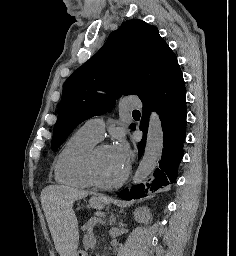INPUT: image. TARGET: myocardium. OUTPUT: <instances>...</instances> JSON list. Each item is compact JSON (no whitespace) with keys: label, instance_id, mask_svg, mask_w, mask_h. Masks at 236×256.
<instances>
[{"label":"myocardium","instance_id":"myocardium-1","mask_svg":"<svg viewBox=\"0 0 236 256\" xmlns=\"http://www.w3.org/2000/svg\"><path fill=\"white\" fill-rule=\"evenodd\" d=\"M106 145H99L92 149L89 155V175L93 186L103 189V190H111L118 187H121L126 180L128 179L130 168L128 165L125 166L123 173L113 181H104L98 172L97 164H96V155L99 150L106 148Z\"/></svg>","mask_w":236,"mask_h":256}]
</instances>
